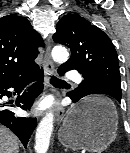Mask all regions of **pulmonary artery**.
Returning a JSON list of instances; mask_svg holds the SVG:
<instances>
[{"instance_id":"pulmonary-artery-1","label":"pulmonary artery","mask_w":130,"mask_h":153,"mask_svg":"<svg viewBox=\"0 0 130 153\" xmlns=\"http://www.w3.org/2000/svg\"><path fill=\"white\" fill-rule=\"evenodd\" d=\"M67 77L76 83H80L82 81L81 75L75 71H69L67 73Z\"/></svg>"}]
</instances>
